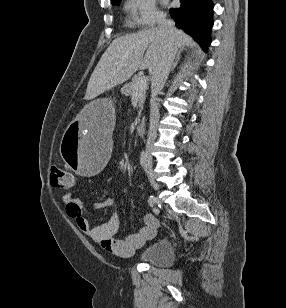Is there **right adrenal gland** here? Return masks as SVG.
I'll use <instances>...</instances> for the list:
<instances>
[{
  "label": "right adrenal gland",
  "mask_w": 286,
  "mask_h": 308,
  "mask_svg": "<svg viewBox=\"0 0 286 308\" xmlns=\"http://www.w3.org/2000/svg\"><path fill=\"white\" fill-rule=\"evenodd\" d=\"M180 56H181V51H179L176 55L175 61L171 67V71H173L175 69V67L177 66L179 60H180Z\"/></svg>",
  "instance_id": "obj_1"
}]
</instances>
